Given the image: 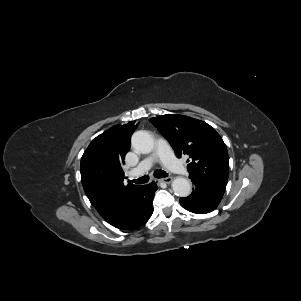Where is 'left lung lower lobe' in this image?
<instances>
[{
	"instance_id": "0a47b994",
	"label": "left lung lower lobe",
	"mask_w": 301,
	"mask_h": 301,
	"mask_svg": "<svg viewBox=\"0 0 301 301\" xmlns=\"http://www.w3.org/2000/svg\"><path fill=\"white\" fill-rule=\"evenodd\" d=\"M194 191L185 198H180V204L186 210L196 214H206L215 210L220 203L225 190L206 184L198 179H192Z\"/></svg>"
}]
</instances>
